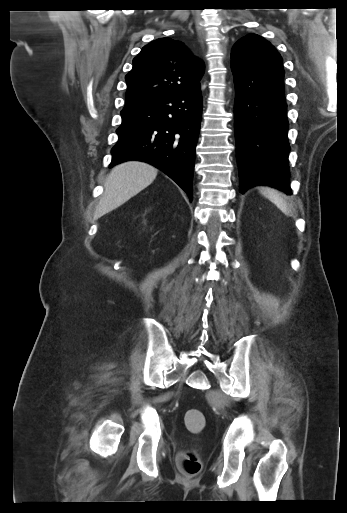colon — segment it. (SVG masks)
Here are the masks:
<instances>
[{"label": "colon", "instance_id": "obj_1", "mask_svg": "<svg viewBox=\"0 0 347 513\" xmlns=\"http://www.w3.org/2000/svg\"><path fill=\"white\" fill-rule=\"evenodd\" d=\"M185 425L193 433H200L205 427V417L197 409H189L185 413ZM181 474L186 478L195 477L201 469L199 454L194 450L182 452L177 460Z\"/></svg>", "mask_w": 347, "mask_h": 513}]
</instances>
